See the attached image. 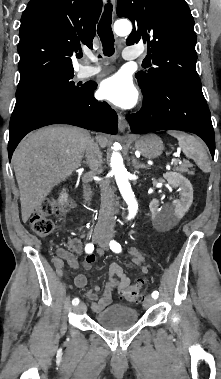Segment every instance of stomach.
Returning a JSON list of instances; mask_svg holds the SVG:
<instances>
[{
    "label": "stomach",
    "instance_id": "1",
    "mask_svg": "<svg viewBox=\"0 0 221 379\" xmlns=\"http://www.w3.org/2000/svg\"><path fill=\"white\" fill-rule=\"evenodd\" d=\"M135 149L146 158H157L164 150L163 142L155 134H148L135 141Z\"/></svg>",
    "mask_w": 221,
    "mask_h": 379
}]
</instances>
